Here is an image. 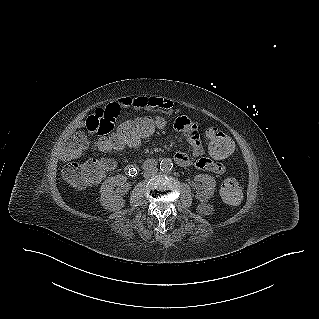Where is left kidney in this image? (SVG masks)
<instances>
[{
	"instance_id": "left-kidney-1",
	"label": "left kidney",
	"mask_w": 319,
	"mask_h": 319,
	"mask_svg": "<svg viewBox=\"0 0 319 319\" xmlns=\"http://www.w3.org/2000/svg\"><path fill=\"white\" fill-rule=\"evenodd\" d=\"M194 181L201 182L203 186V190L198 191L195 197L202 203H206L215 191L216 181L214 177L208 174H199L194 177Z\"/></svg>"
}]
</instances>
